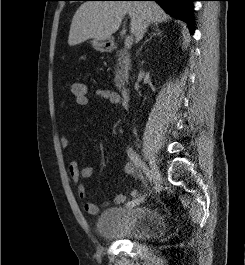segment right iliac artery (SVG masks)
I'll return each instance as SVG.
<instances>
[{"mask_svg":"<svg viewBox=\"0 0 245 265\" xmlns=\"http://www.w3.org/2000/svg\"><path fill=\"white\" fill-rule=\"evenodd\" d=\"M128 156L133 161L136 167H140V169L143 171V173L146 175V178L151 182L152 177L149 169L145 166V164L141 161L139 156L136 154V152L132 149L129 148L127 150ZM146 195L141 196L140 198H136L132 201H129L126 203L127 206H134V205H139L145 201Z\"/></svg>","mask_w":245,"mask_h":265,"instance_id":"1","label":"right iliac artery"}]
</instances>
